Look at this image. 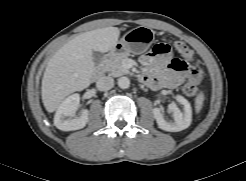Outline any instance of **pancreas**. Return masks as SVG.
I'll return each mask as SVG.
<instances>
[{"mask_svg": "<svg viewBox=\"0 0 246 181\" xmlns=\"http://www.w3.org/2000/svg\"><path fill=\"white\" fill-rule=\"evenodd\" d=\"M129 57V53H124L107 59L102 66L104 72H108L111 76L118 77L128 74L129 71L123 67V62Z\"/></svg>", "mask_w": 246, "mask_h": 181, "instance_id": "pancreas-1", "label": "pancreas"}]
</instances>
